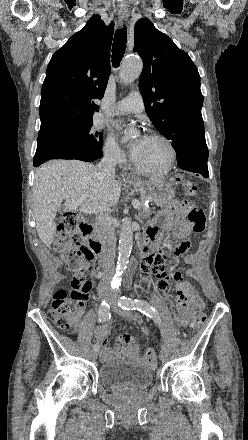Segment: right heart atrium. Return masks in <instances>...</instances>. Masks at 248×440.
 Returning <instances> with one entry per match:
<instances>
[{
	"mask_svg": "<svg viewBox=\"0 0 248 440\" xmlns=\"http://www.w3.org/2000/svg\"><path fill=\"white\" fill-rule=\"evenodd\" d=\"M103 151L105 157L112 163L120 164L124 161L125 153L115 138L111 135H108L105 138Z\"/></svg>",
	"mask_w": 248,
	"mask_h": 440,
	"instance_id": "1",
	"label": "right heart atrium"
}]
</instances>
